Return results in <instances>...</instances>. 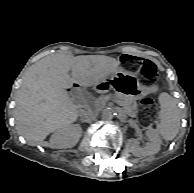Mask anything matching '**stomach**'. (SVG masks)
Segmentation results:
<instances>
[{"instance_id":"stomach-1","label":"stomach","mask_w":194,"mask_h":193,"mask_svg":"<svg viewBox=\"0 0 194 193\" xmlns=\"http://www.w3.org/2000/svg\"><path fill=\"white\" fill-rule=\"evenodd\" d=\"M100 89L111 88L134 99L158 91V85L144 86L137 77L130 72L117 71L97 84Z\"/></svg>"}]
</instances>
